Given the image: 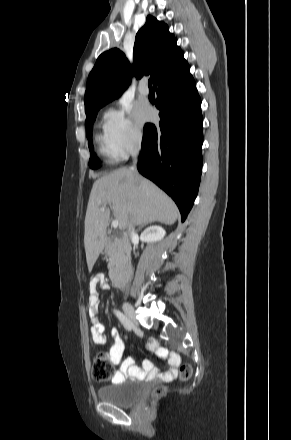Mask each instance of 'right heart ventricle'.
Here are the masks:
<instances>
[{
    "instance_id": "e07e8e85",
    "label": "right heart ventricle",
    "mask_w": 291,
    "mask_h": 440,
    "mask_svg": "<svg viewBox=\"0 0 291 440\" xmlns=\"http://www.w3.org/2000/svg\"><path fill=\"white\" fill-rule=\"evenodd\" d=\"M95 141L97 144L98 154L106 162H113L116 160L117 157L114 155L104 132L97 133L95 136Z\"/></svg>"
}]
</instances>
